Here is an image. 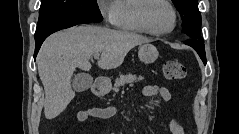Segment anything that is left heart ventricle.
<instances>
[{
    "mask_svg": "<svg viewBox=\"0 0 239 134\" xmlns=\"http://www.w3.org/2000/svg\"><path fill=\"white\" fill-rule=\"evenodd\" d=\"M148 20L154 30L165 31L172 26L173 16L164 3L155 1L148 10Z\"/></svg>",
    "mask_w": 239,
    "mask_h": 134,
    "instance_id": "obj_1",
    "label": "left heart ventricle"
}]
</instances>
